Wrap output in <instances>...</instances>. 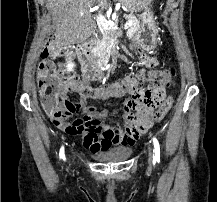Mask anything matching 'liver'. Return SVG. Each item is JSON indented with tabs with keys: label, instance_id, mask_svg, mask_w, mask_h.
<instances>
[{
	"label": "liver",
	"instance_id": "6515ba94",
	"mask_svg": "<svg viewBox=\"0 0 217 202\" xmlns=\"http://www.w3.org/2000/svg\"><path fill=\"white\" fill-rule=\"evenodd\" d=\"M98 4L107 10L105 0H46L47 10H51L56 22L57 46H73L86 42L96 28L89 12L91 6ZM129 12H142L151 0H119Z\"/></svg>",
	"mask_w": 217,
	"mask_h": 202
}]
</instances>
